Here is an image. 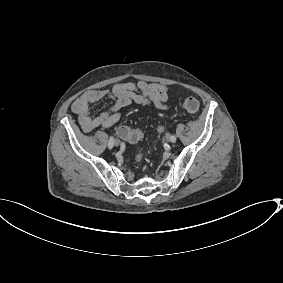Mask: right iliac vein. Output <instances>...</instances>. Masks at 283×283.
<instances>
[{
	"label": "right iliac vein",
	"instance_id": "right-iliac-vein-1",
	"mask_svg": "<svg viewBox=\"0 0 283 283\" xmlns=\"http://www.w3.org/2000/svg\"><path fill=\"white\" fill-rule=\"evenodd\" d=\"M120 145V142L118 140H114V146L118 147Z\"/></svg>",
	"mask_w": 283,
	"mask_h": 283
}]
</instances>
